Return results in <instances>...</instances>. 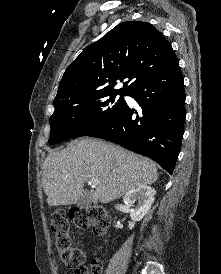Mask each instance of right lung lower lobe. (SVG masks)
Here are the masks:
<instances>
[{
    "instance_id": "1",
    "label": "right lung lower lobe",
    "mask_w": 221,
    "mask_h": 274,
    "mask_svg": "<svg viewBox=\"0 0 221 274\" xmlns=\"http://www.w3.org/2000/svg\"><path fill=\"white\" fill-rule=\"evenodd\" d=\"M142 114L127 104L89 136L109 140L158 162L173 173L184 133L185 91L179 62L140 83L129 94Z\"/></svg>"
}]
</instances>
